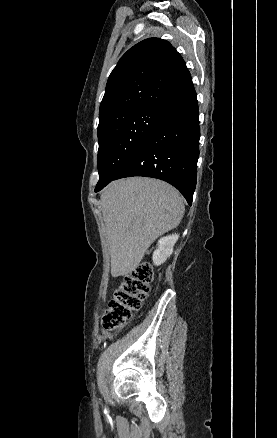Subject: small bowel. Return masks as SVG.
<instances>
[{
    "mask_svg": "<svg viewBox=\"0 0 277 438\" xmlns=\"http://www.w3.org/2000/svg\"><path fill=\"white\" fill-rule=\"evenodd\" d=\"M103 335H104V337H106V338H111V337H112V335L109 334V333H104Z\"/></svg>",
    "mask_w": 277,
    "mask_h": 438,
    "instance_id": "c3829d8e",
    "label": "small bowel"
}]
</instances>
